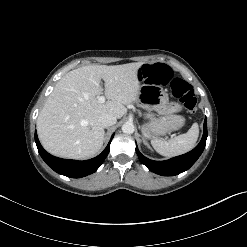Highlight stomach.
Returning a JSON list of instances; mask_svg holds the SVG:
<instances>
[{"label": "stomach", "instance_id": "stomach-1", "mask_svg": "<svg viewBox=\"0 0 247 247\" xmlns=\"http://www.w3.org/2000/svg\"><path fill=\"white\" fill-rule=\"evenodd\" d=\"M138 100L146 109L156 110L160 117L153 118L142 127L143 134L151 136L164 135L180 129L185 124V118L177 113L182 111V105L169 101L166 90L155 84H143L139 89Z\"/></svg>", "mask_w": 247, "mask_h": 247}]
</instances>
